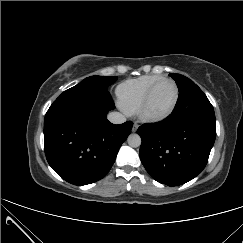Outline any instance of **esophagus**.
<instances>
[{"instance_id":"obj_1","label":"esophagus","mask_w":243,"mask_h":243,"mask_svg":"<svg viewBox=\"0 0 243 243\" xmlns=\"http://www.w3.org/2000/svg\"><path fill=\"white\" fill-rule=\"evenodd\" d=\"M137 129H138V124H137V123H134V124H133V127H132V131H133V132H136Z\"/></svg>"}]
</instances>
